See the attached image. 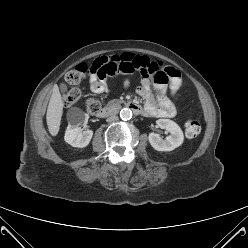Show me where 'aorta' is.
Segmentation results:
<instances>
[{
	"mask_svg": "<svg viewBox=\"0 0 248 248\" xmlns=\"http://www.w3.org/2000/svg\"><path fill=\"white\" fill-rule=\"evenodd\" d=\"M120 117L122 120H130L132 118V111L128 108H124L120 111Z\"/></svg>",
	"mask_w": 248,
	"mask_h": 248,
	"instance_id": "aorta-1",
	"label": "aorta"
}]
</instances>
